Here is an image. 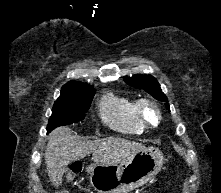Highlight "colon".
Wrapping results in <instances>:
<instances>
[{
	"label": "colon",
	"instance_id": "colon-1",
	"mask_svg": "<svg viewBox=\"0 0 221 193\" xmlns=\"http://www.w3.org/2000/svg\"><path fill=\"white\" fill-rule=\"evenodd\" d=\"M80 170V166L79 165H73L71 168V172L72 173H76Z\"/></svg>",
	"mask_w": 221,
	"mask_h": 193
}]
</instances>
